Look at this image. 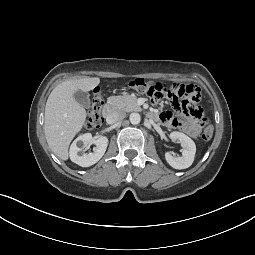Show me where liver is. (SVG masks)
Returning a JSON list of instances; mask_svg holds the SVG:
<instances>
[{
    "instance_id": "liver-1",
    "label": "liver",
    "mask_w": 255,
    "mask_h": 255,
    "mask_svg": "<svg viewBox=\"0 0 255 255\" xmlns=\"http://www.w3.org/2000/svg\"><path fill=\"white\" fill-rule=\"evenodd\" d=\"M100 83L98 77L70 79L58 84L48 97L45 107L44 132L52 152L67 160L70 142L86 121V110L76 101L74 94L88 92Z\"/></svg>"
}]
</instances>
